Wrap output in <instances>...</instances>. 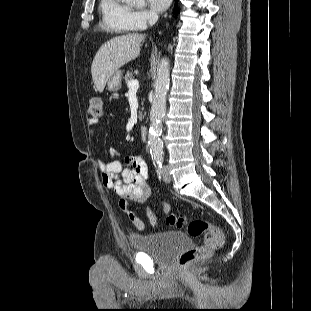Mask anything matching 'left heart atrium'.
Wrapping results in <instances>:
<instances>
[{"label": "left heart atrium", "instance_id": "left-heart-atrium-1", "mask_svg": "<svg viewBox=\"0 0 311 311\" xmlns=\"http://www.w3.org/2000/svg\"><path fill=\"white\" fill-rule=\"evenodd\" d=\"M150 7L155 11L165 10L171 3V0H148Z\"/></svg>", "mask_w": 311, "mask_h": 311}]
</instances>
